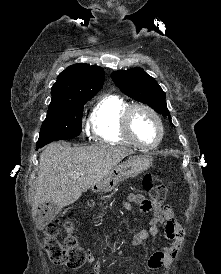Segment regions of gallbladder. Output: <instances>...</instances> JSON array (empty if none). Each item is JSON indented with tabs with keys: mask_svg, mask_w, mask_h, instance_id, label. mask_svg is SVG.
<instances>
[{
	"mask_svg": "<svg viewBox=\"0 0 221 274\" xmlns=\"http://www.w3.org/2000/svg\"><path fill=\"white\" fill-rule=\"evenodd\" d=\"M47 208L50 209V212L48 213V215L43 216V214H44L43 212ZM60 211H61V208H59V207L43 204L40 206L39 215H40V218H44L45 221H48L50 218L55 217Z\"/></svg>",
	"mask_w": 221,
	"mask_h": 274,
	"instance_id": "gallbladder-1",
	"label": "gallbladder"
}]
</instances>
